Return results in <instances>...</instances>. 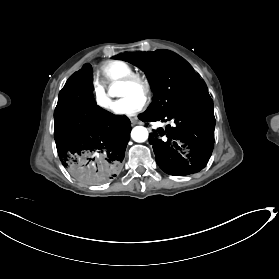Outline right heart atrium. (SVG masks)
Wrapping results in <instances>:
<instances>
[{
    "mask_svg": "<svg viewBox=\"0 0 279 279\" xmlns=\"http://www.w3.org/2000/svg\"><path fill=\"white\" fill-rule=\"evenodd\" d=\"M94 101L99 109L109 112L112 109V101L104 85L95 80L93 83Z\"/></svg>",
    "mask_w": 279,
    "mask_h": 279,
    "instance_id": "d8ad5b80",
    "label": "right heart atrium"
}]
</instances>
